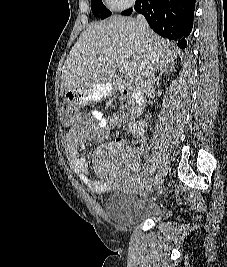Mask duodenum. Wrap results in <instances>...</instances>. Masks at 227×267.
<instances>
[{
  "label": "duodenum",
  "mask_w": 227,
  "mask_h": 267,
  "mask_svg": "<svg viewBox=\"0 0 227 267\" xmlns=\"http://www.w3.org/2000/svg\"><path fill=\"white\" fill-rule=\"evenodd\" d=\"M114 82L119 92L129 98L130 103H131L132 114L135 116L141 114L146 105L144 96L136 89H133L130 86L123 83V81L121 80L119 76H115Z\"/></svg>",
  "instance_id": "1"
}]
</instances>
